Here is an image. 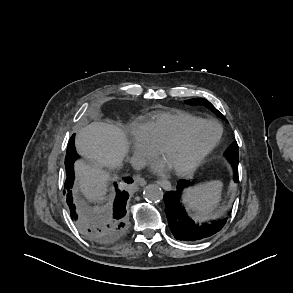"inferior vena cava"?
<instances>
[{"mask_svg": "<svg viewBox=\"0 0 293 293\" xmlns=\"http://www.w3.org/2000/svg\"><path fill=\"white\" fill-rule=\"evenodd\" d=\"M130 163L132 167L136 170H140L146 165V160L140 155H133L130 158Z\"/></svg>", "mask_w": 293, "mask_h": 293, "instance_id": "1", "label": "inferior vena cava"}]
</instances>
